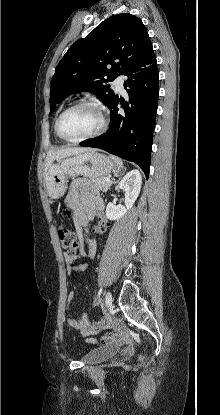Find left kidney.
Listing matches in <instances>:
<instances>
[{
  "label": "left kidney",
  "instance_id": "left-kidney-1",
  "mask_svg": "<svg viewBox=\"0 0 220 415\" xmlns=\"http://www.w3.org/2000/svg\"><path fill=\"white\" fill-rule=\"evenodd\" d=\"M141 185L142 176L137 169L129 171L122 178L116 187V190H123L125 192V206H116L111 202L108 203L106 207V216L109 220H119L130 208H132L139 196Z\"/></svg>",
  "mask_w": 220,
  "mask_h": 415
}]
</instances>
